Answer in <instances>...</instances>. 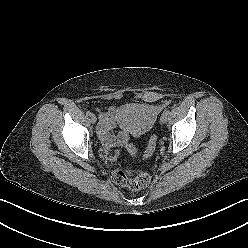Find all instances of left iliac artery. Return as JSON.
I'll use <instances>...</instances> for the list:
<instances>
[{"label": "left iliac artery", "mask_w": 248, "mask_h": 248, "mask_svg": "<svg viewBox=\"0 0 248 248\" xmlns=\"http://www.w3.org/2000/svg\"><path fill=\"white\" fill-rule=\"evenodd\" d=\"M165 111H166L168 114L170 113V111H169V110H165ZM165 111H164V112H165Z\"/></svg>", "instance_id": "44dca946"}]
</instances>
